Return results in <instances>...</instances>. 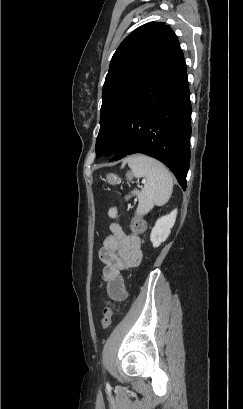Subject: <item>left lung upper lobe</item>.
I'll return each mask as SVG.
<instances>
[{
	"instance_id": "5c2ea615",
	"label": "left lung upper lobe",
	"mask_w": 243,
	"mask_h": 409,
	"mask_svg": "<svg viewBox=\"0 0 243 409\" xmlns=\"http://www.w3.org/2000/svg\"><path fill=\"white\" fill-rule=\"evenodd\" d=\"M178 46L169 25L150 22L134 30L117 48L103 86L97 157L113 156L143 90Z\"/></svg>"
}]
</instances>
